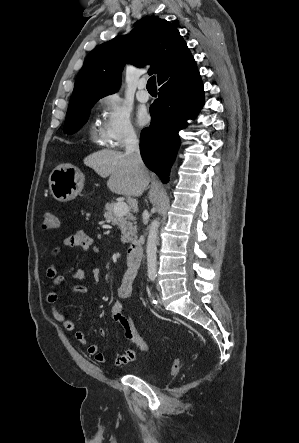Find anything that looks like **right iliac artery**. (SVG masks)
<instances>
[{
    "mask_svg": "<svg viewBox=\"0 0 299 443\" xmlns=\"http://www.w3.org/2000/svg\"><path fill=\"white\" fill-rule=\"evenodd\" d=\"M148 276H149V278H150V280L151 281H154L155 279H156V273L155 272H150L149 274H148Z\"/></svg>",
    "mask_w": 299,
    "mask_h": 443,
    "instance_id": "obj_1",
    "label": "right iliac artery"
}]
</instances>
